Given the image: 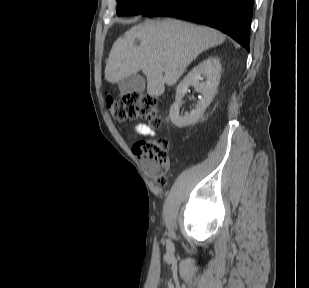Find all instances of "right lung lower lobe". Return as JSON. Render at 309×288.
Wrapping results in <instances>:
<instances>
[{"mask_svg": "<svg viewBox=\"0 0 309 288\" xmlns=\"http://www.w3.org/2000/svg\"><path fill=\"white\" fill-rule=\"evenodd\" d=\"M254 0H162L143 16H170L202 23L231 36L249 51Z\"/></svg>", "mask_w": 309, "mask_h": 288, "instance_id": "obj_1", "label": "right lung lower lobe"}]
</instances>
